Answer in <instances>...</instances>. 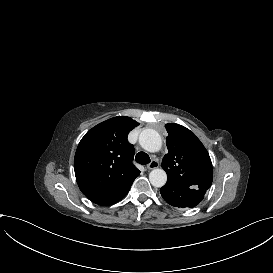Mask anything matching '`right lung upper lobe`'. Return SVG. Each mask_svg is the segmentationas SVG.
Instances as JSON below:
<instances>
[{"label":"right lung upper lobe","mask_w":273,"mask_h":273,"mask_svg":"<svg viewBox=\"0 0 273 273\" xmlns=\"http://www.w3.org/2000/svg\"><path fill=\"white\" fill-rule=\"evenodd\" d=\"M139 123L118 116L106 120L81 139L74 158L77 183L96 204L107 206L121 200L140 171L133 165L134 148L128 133Z\"/></svg>","instance_id":"cb5924a9"}]
</instances>
